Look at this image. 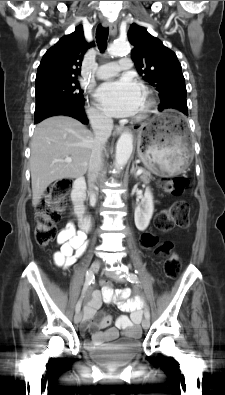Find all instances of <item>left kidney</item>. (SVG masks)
<instances>
[{
  "instance_id": "5707ae66",
  "label": "left kidney",
  "mask_w": 225,
  "mask_h": 395,
  "mask_svg": "<svg viewBox=\"0 0 225 395\" xmlns=\"http://www.w3.org/2000/svg\"><path fill=\"white\" fill-rule=\"evenodd\" d=\"M153 211V195L147 188L144 193V197L141 199V202L136 207L134 213L135 225L138 230L144 231L148 227L153 215Z\"/></svg>"
}]
</instances>
